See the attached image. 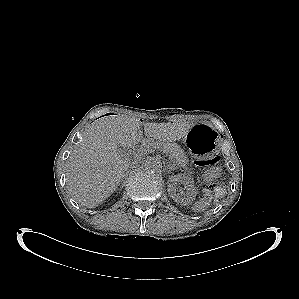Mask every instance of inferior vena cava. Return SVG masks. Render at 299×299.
<instances>
[{"mask_svg": "<svg viewBox=\"0 0 299 299\" xmlns=\"http://www.w3.org/2000/svg\"><path fill=\"white\" fill-rule=\"evenodd\" d=\"M137 164H138V161H137V160H134V161H132V162L129 163V167H130V168H133V167H135Z\"/></svg>", "mask_w": 299, "mask_h": 299, "instance_id": "obj_1", "label": "inferior vena cava"}]
</instances>
